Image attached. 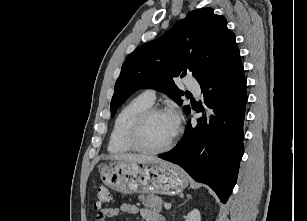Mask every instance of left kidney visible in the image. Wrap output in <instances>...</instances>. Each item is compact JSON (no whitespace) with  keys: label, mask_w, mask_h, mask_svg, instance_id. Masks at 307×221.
Masks as SVG:
<instances>
[{"label":"left kidney","mask_w":307,"mask_h":221,"mask_svg":"<svg viewBox=\"0 0 307 221\" xmlns=\"http://www.w3.org/2000/svg\"><path fill=\"white\" fill-rule=\"evenodd\" d=\"M185 221H201V215L199 210H192L186 217Z\"/></svg>","instance_id":"obj_1"}]
</instances>
